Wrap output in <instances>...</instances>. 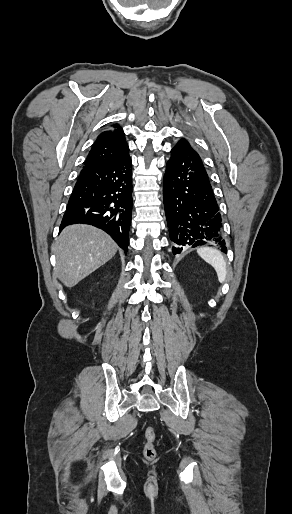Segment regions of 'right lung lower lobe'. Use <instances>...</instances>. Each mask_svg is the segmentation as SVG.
Wrapping results in <instances>:
<instances>
[{"mask_svg":"<svg viewBox=\"0 0 292 514\" xmlns=\"http://www.w3.org/2000/svg\"><path fill=\"white\" fill-rule=\"evenodd\" d=\"M132 162L129 153L103 165H84L69 198L60 230L89 224L128 250L132 215Z\"/></svg>","mask_w":292,"mask_h":514,"instance_id":"right-lung-lower-lobe-1","label":"right lung lower lobe"}]
</instances>
